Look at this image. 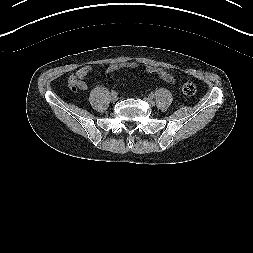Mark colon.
Masks as SVG:
<instances>
[{
	"instance_id": "5ec220e1",
	"label": "colon",
	"mask_w": 253,
	"mask_h": 253,
	"mask_svg": "<svg viewBox=\"0 0 253 253\" xmlns=\"http://www.w3.org/2000/svg\"><path fill=\"white\" fill-rule=\"evenodd\" d=\"M70 87L72 90L76 91L77 90V86H76V78H71L70 80ZM183 93L187 96H193L196 91H197V87L196 85L191 82V81H187L183 84L182 87Z\"/></svg>"
}]
</instances>
